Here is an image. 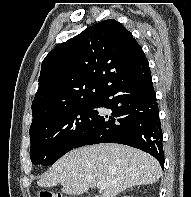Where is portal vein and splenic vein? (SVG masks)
I'll return each mask as SVG.
<instances>
[{
    "label": "portal vein and splenic vein",
    "mask_w": 191,
    "mask_h": 197,
    "mask_svg": "<svg viewBox=\"0 0 191 197\" xmlns=\"http://www.w3.org/2000/svg\"><path fill=\"white\" fill-rule=\"evenodd\" d=\"M105 187H106V185L104 183H102V182L97 183L98 189L103 190V189H105Z\"/></svg>",
    "instance_id": "1"
}]
</instances>
